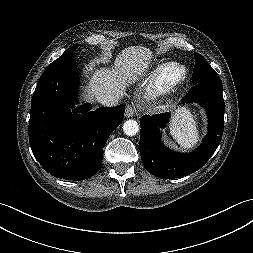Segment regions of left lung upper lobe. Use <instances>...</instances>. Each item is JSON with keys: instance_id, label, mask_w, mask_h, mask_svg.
Segmentation results:
<instances>
[{"instance_id": "left-lung-upper-lobe-1", "label": "left lung upper lobe", "mask_w": 253, "mask_h": 253, "mask_svg": "<svg viewBox=\"0 0 253 253\" xmlns=\"http://www.w3.org/2000/svg\"><path fill=\"white\" fill-rule=\"evenodd\" d=\"M195 67L192 75V81L198 83H211L222 86L221 79L217 73L206 62L205 58L199 53H195Z\"/></svg>"}]
</instances>
